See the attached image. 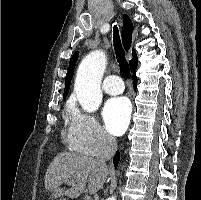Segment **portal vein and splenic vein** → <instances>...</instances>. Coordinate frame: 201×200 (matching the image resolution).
I'll list each match as a JSON object with an SVG mask.
<instances>
[{"label": "portal vein and splenic vein", "instance_id": "1", "mask_svg": "<svg viewBox=\"0 0 201 200\" xmlns=\"http://www.w3.org/2000/svg\"><path fill=\"white\" fill-rule=\"evenodd\" d=\"M67 184L71 185L70 182H67ZM85 200H91V198L87 196V197H85Z\"/></svg>", "mask_w": 201, "mask_h": 200}]
</instances>
